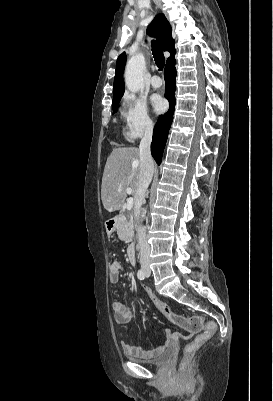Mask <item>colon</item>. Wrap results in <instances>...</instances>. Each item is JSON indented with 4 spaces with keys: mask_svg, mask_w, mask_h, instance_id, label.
I'll list each match as a JSON object with an SVG mask.
<instances>
[{
    "mask_svg": "<svg viewBox=\"0 0 273 401\" xmlns=\"http://www.w3.org/2000/svg\"><path fill=\"white\" fill-rule=\"evenodd\" d=\"M141 289L146 293V299L151 306L161 315L167 316L169 321H173L174 324H178L180 328H184L187 333H200L198 337H193L188 341V344H184L182 352V363L179 365L178 373L183 381H190L193 378L192 369L189 367V358H195L197 353H202L204 342H209L212 339L218 322L216 319H209L206 323L202 319H189L187 320L185 315H181L180 312H172L171 307L166 304H162L159 297L155 294H149L151 289L147 283L141 284ZM141 290V291H142ZM145 295V294H142Z\"/></svg>",
    "mask_w": 273,
    "mask_h": 401,
    "instance_id": "obj_1",
    "label": "colon"
}]
</instances>
